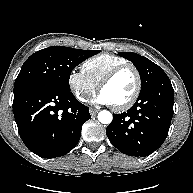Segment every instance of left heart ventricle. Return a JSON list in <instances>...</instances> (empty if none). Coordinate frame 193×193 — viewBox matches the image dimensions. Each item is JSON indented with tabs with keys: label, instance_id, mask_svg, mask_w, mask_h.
I'll list each match as a JSON object with an SVG mask.
<instances>
[{
	"label": "left heart ventricle",
	"instance_id": "b2bd125f",
	"mask_svg": "<svg viewBox=\"0 0 193 193\" xmlns=\"http://www.w3.org/2000/svg\"><path fill=\"white\" fill-rule=\"evenodd\" d=\"M135 86V74L132 70L127 69L119 73L111 82L105 85L101 92L108 97L112 105H120L131 97Z\"/></svg>",
	"mask_w": 193,
	"mask_h": 193
}]
</instances>
